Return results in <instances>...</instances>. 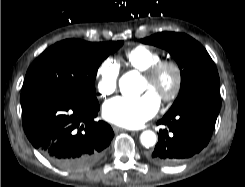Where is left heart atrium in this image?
<instances>
[{
    "instance_id": "1",
    "label": "left heart atrium",
    "mask_w": 245,
    "mask_h": 187,
    "mask_svg": "<svg viewBox=\"0 0 245 187\" xmlns=\"http://www.w3.org/2000/svg\"><path fill=\"white\" fill-rule=\"evenodd\" d=\"M160 107V97L147 90L138 98L116 97L103 106V117L116 125L138 128L152 118Z\"/></svg>"
}]
</instances>
